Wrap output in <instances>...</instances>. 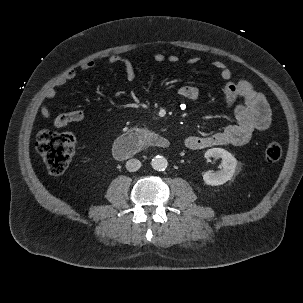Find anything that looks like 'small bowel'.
Instances as JSON below:
<instances>
[{
	"label": "small bowel",
	"instance_id": "1",
	"mask_svg": "<svg viewBox=\"0 0 303 303\" xmlns=\"http://www.w3.org/2000/svg\"><path fill=\"white\" fill-rule=\"evenodd\" d=\"M153 60L162 64L168 62L176 65L179 58L176 55H165L156 53ZM109 63L121 66L126 75V80L132 83L136 80V71L132 61L120 55L109 57ZM199 61L198 57L188 59V65H194ZM213 67L218 70L220 77L225 81L223 93L224 101L228 106L234 108L235 122L227 125L221 131L204 136H189L184 140V145L190 150H202L213 146L223 145H244L250 141L256 132L266 131L271 125V113L268 102L263 94L255 91L252 84L247 80H232V72L222 61H214ZM95 67V62L90 60L82 64V70H91ZM77 72L74 69L67 71L55 84L57 87L64 86L69 81L76 78ZM55 87L46 92V97L52 99L56 96ZM178 93L187 100H197L200 97V89L192 84L183 85ZM44 118L50 117V110L47 106L40 109ZM85 114L82 110H74L62 113L54 118L53 124L57 128L68 124L82 121Z\"/></svg>",
	"mask_w": 303,
	"mask_h": 303
}]
</instances>
